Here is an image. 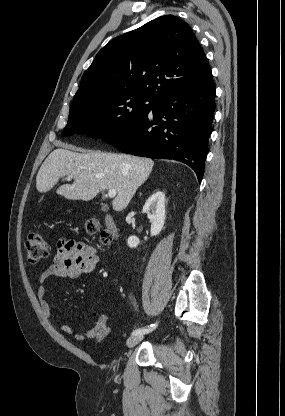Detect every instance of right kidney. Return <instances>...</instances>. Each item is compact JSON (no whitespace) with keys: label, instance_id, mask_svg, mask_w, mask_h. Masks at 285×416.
Returning a JSON list of instances; mask_svg holds the SVG:
<instances>
[{"label":"right kidney","instance_id":"ca27d5eb","mask_svg":"<svg viewBox=\"0 0 285 416\" xmlns=\"http://www.w3.org/2000/svg\"><path fill=\"white\" fill-rule=\"evenodd\" d=\"M150 210H153L150 214ZM143 212L148 214V218L151 222V236H158L160 234L165 220V194L164 192H155L151 198H148L145 206H143ZM129 248H137L140 244L137 236H130L127 240Z\"/></svg>","mask_w":285,"mask_h":416}]
</instances>
